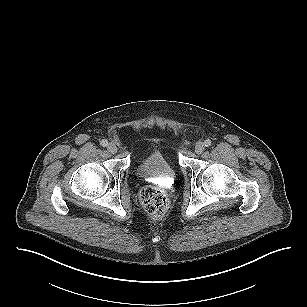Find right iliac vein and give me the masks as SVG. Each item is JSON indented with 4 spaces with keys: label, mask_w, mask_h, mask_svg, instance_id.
I'll list each match as a JSON object with an SVG mask.
<instances>
[{
    "label": "right iliac vein",
    "mask_w": 307,
    "mask_h": 307,
    "mask_svg": "<svg viewBox=\"0 0 307 307\" xmlns=\"http://www.w3.org/2000/svg\"><path fill=\"white\" fill-rule=\"evenodd\" d=\"M107 150H108L110 153L115 154V153L117 152L118 149H117L116 144L110 143V144L108 145V147H107Z\"/></svg>",
    "instance_id": "obj_1"
}]
</instances>
